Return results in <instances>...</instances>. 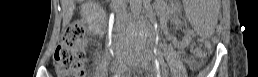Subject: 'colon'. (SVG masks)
Returning <instances> with one entry per match:
<instances>
[{
    "instance_id": "obj_1",
    "label": "colon",
    "mask_w": 258,
    "mask_h": 77,
    "mask_svg": "<svg viewBox=\"0 0 258 77\" xmlns=\"http://www.w3.org/2000/svg\"><path fill=\"white\" fill-rule=\"evenodd\" d=\"M86 40L81 23L70 24L54 53V66L61 77H84Z\"/></svg>"
}]
</instances>
